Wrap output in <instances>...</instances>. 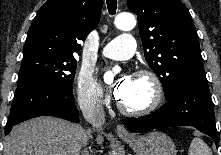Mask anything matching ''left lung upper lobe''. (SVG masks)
<instances>
[{"instance_id":"5c2ea615","label":"left lung upper lobe","mask_w":221,"mask_h":155,"mask_svg":"<svg viewBox=\"0 0 221 155\" xmlns=\"http://www.w3.org/2000/svg\"><path fill=\"white\" fill-rule=\"evenodd\" d=\"M137 14L145 59L169 99L184 83L206 79L199 39L180 0H128Z\"/></svg>"}]
</instances>
